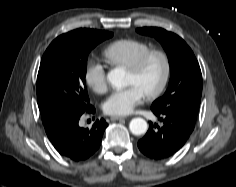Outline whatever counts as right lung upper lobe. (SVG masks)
Returning <instances> with one entry per match:
<instances>
[{
	"label": "right lung upper lobe",
	"mask_w": 236,
	"mask_h": 187,
	"mask_svg": "<svg viewBox=\"0 0 236 187\" xmlns=\"http://www.w3.org/2000/svg\"><path fill=\"white\" fill-rule=\"evenodd\" d=\"M90 30H93V29H77V30H74V31H71V32H75V33H85V32H88V31H90ZM56 131H57V130H50V131H47L46 133H47L48 138H49V139L52 138V137L55 135Z\"/></svg>",
	"instance_id": "1"
}]
</instances>
